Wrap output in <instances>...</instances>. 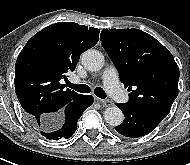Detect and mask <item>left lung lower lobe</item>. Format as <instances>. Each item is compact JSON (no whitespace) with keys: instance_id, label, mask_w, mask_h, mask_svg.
Listing matches in <instances>:
<instances>
[{"instance_id":"0a47b994","label":"left lung lower lobe","mask_w":190,"mask_h":165,"mask_svg":"<svg viewBox=\"0 0 190 165\" xmlns=\"http://www.w3.org/2000/svg\"><path fill=\"white\" fill-rule=\"evenodd\" d=\"M125 119L115 130L126 137H140L149 134L168 113L148 108L135 107L128 103H116Z\"/></svg>"}]
</instances>
